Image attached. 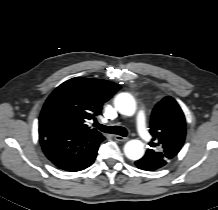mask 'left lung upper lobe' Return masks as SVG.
I'll return each instance as SVG.
<instances>
[{
  "label": "left lung upper lobe",
  "instance_id": "5c2ea615",
  "mask_svg": "<svg viewBox=\"0 0 218 210\" xmlns=\"http://www.w3.org/2000/svg\"><path fill=\"white\" fill-rule=\"evenodd\" d=\"M150 133L153 138L145 155L164 166L178 154L186 135L185 116L174 98L167 96L155 106Z\"/></svg>",
  "mask_w": 218,
  "mask_h": 210
}]
</instances>
